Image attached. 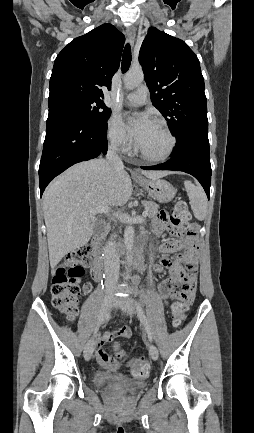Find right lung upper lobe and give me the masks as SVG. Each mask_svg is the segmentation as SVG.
Listing matches in <instances>:
<instances>
[{
  "instance_id": "right-lung-upper-lobe-1",
  "label": "right lung upper lobe",
  "mask_w": 254,
  "mask_h": 433,
  "mask_svg": "<svg viewBox=\"0 0 254 433\" xmlns=\"http://www.w3.org/2000/svg\"><path fill=\"white\" fill-rule=\"evenodd\" d=\"M124 42V35L111 24L70 42L55 59L48 105L71 98L102 99L101 87L110 90Z\"/></svg>"
}]
</instances>
